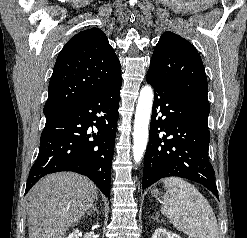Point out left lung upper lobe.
<instances>
[{
    "label": "left lung upper lobe",
    "instance_id": "obj_1",
    "mask_svg": "<svg viewBox=\"0 0 247 238\" xmlns=\"http://www.w3.org/2000/svg\"><path fill=\"white\" fill-rule=\"evenodd\" d=\"M148 72L171 90L210 112L205 69L195 47L181 36L165 32L156 45Z\"/></svg>",
    "mask_w": 247,
    "mask_h": 238
}]
</instances>
